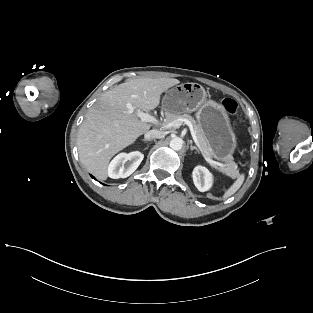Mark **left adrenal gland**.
<instances>
[{
	"mask_svg": "<svg viewBox=\"0 0 313 313\" xmlns=\"http://www.w3.org/2000/svg\"><path fill=\"white\" fill-rule=\"evenodd\" d=\"M190 149L191 150H195L196 152H199L198 148L196 146L192 145V142H191V145H190Z\"/></svg>",
	"mask_w": 313,
	"mask_h": 313,
	"instance_id": "a2214340",
	"label": "left adrenal gland"
}]
</instances>
